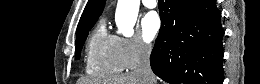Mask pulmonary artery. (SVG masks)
<instances>
[{
	"mask_svg": "<svg viewBox=\"0 0 260 84\" xmlns=\"http://www.w3.org/2000/svg\"><path fill=\"white\" fill-rule=\"evenodd\" d=\"M142 3L146 8L150 9L155 8L157 6V2L155 0H143Z\"/></svg>",
	"mask_w": 260,
	"mask_h": 84,
	"instance_id": "obj_1",
	"label": "pulmonary artery"
}]
</instances>
